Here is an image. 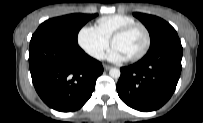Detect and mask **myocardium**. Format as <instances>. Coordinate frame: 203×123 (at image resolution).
<instances>
[{"instance_id":"myocardium-1","label":"myocardium","mask_w":203,"mask_h":123,"mask_svg":"<svg viewBox=\"0 0 203 123\" xmlns=\"http://www.w3.org/2000/svg\"><path fill=\"white\" fill-rule=\"evenodd\" d=\"M136 28H140L143 30L144 34H145V38H146V41H145V45L143 47V49L136 55L130 57V58H127L128 61H137L141 58H143L147 52L149 51L150 49V46H151V35H150V32L149 30L147 29V27L142 24V23H133V24H130V25H127V26H124L122 27L121 29L117 30L111 37L110 39V42H111V45L113 46L114 42L116 39L128 34L130 31L136 29Z\"/></svg>"}]
</instances>
